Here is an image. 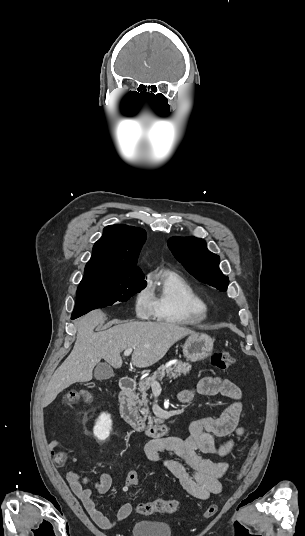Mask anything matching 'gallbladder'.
I'll return each instance as SVG.
<instances>
[{
	"label": "gallbladder",
	"instance_id": "1",
	"mask_svg": "<svg viewBox=\"0 0 305 536\" xmlns=\"http://www.w3.org/2000/svg\"><path fill=\"white\" fill-rule=\"evenodd\" d=\"M112 376L113 370L109 364H97L94 372L96 380H109Z\"/></svg>",
	"mask_w": 305,
	"mask_h": 536
}]
</instances>
